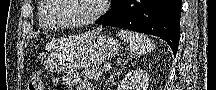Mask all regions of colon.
I'll use <instances>...</instances> for the list:
<instances>
[{
	"mask_svg": "<svg viewBox=\"0 0 216 90\" xmlns=\"http://www.w3.org/2000/svg\"><path fill=\"white\" fill-rule=\"evenodd\" d=\"M29 90H43V84L39 77L34 76L30 79Z\"/></svg>",
	"mask_w": 216,
	"mask_h": 90,
	"instance_id": "colon-1",
	"label": "colon"
}]
</instances>
